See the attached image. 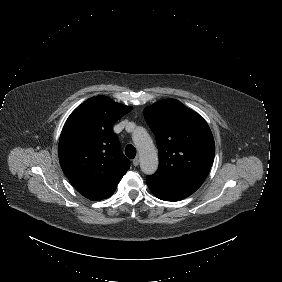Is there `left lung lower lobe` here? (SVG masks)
<instances>
[{"instance_id":"left-lung-lower-lobe-1","label":"left lung lower lobe","mask_w":282,"mask_h":282,"mask_svg":"<svg viewBox=\"0 0 282 282\" xmlns=\"http://www.w3.org/2000/svg\"><path fill=\"white\" fill-rule=\"evenodd\" d=\"M151 192L161 200L179 201L194 193L202 184L199 181L169 178L153 174L146 177Z\"/></svg>"}]
</instances>
